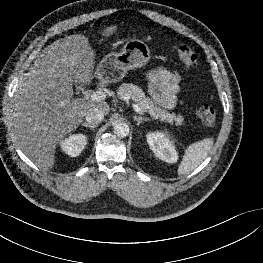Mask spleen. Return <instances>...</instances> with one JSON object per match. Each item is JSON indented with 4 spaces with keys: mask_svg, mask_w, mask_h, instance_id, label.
Segmentation results:
<instances>
[{
    "mask_svg": "<svg viewBox=\"0 0 263 263\" xmlns=\"http://www.w3.org/2000/svg\"><path fill=\"white\" fill-rule=\"evenodd\" d=\"M212 146L211 138H205L189 145L178 167V175H186L196 169L206 159Z\"/></svg>",
    "mask_w": 263,
    "mask_h": 263,
    "instance_id": "obj_1",
    "label": "spleen"
}]
</instances>
